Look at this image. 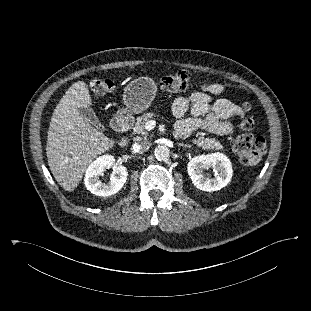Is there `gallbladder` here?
Segmentation results:
<instances>
[{"instance_id":"1","label":"gallbladder","mask_w":311,"mask_h":311,"mask_svg":"<svg viewBox=\"0 0 311 311\" xmlns=\"http://www.w3.org/2000/svg\"><path fill=\"white\" fill-rule=\"evenodd\" d=\"M81 114L84 116L85 119H87L91 125H93L95 128L102 130L104 127L102 126L101 122L99 121L98 117L96 116V113L93 111L92 108H82L80 109Z\"/></svg>"}]
</instances>
